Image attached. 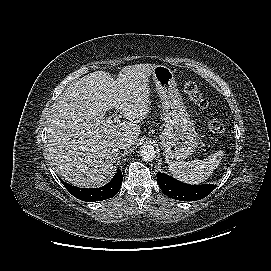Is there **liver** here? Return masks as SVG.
<instances>
[{
    "label": "liver",
    "instance_id": "1",
    "mask_svg": "<svg viewBox=\"0 0 271 271\" xmlns=\"http://www.w3.org/2000/svg\"><path fill=\"white\" fill-rule=\"evenodd\" d=\"M156 65L124 67L114 80L95 71L67 86L51 109L47 149L56 172L80 187L103 185L118 156L115 139L128 135L135 144L139 122L149 112V78ZM115 108L128 121H105L104 112Z\"/></svg>",
    "mask_w": 271,
    "mask_h": 271
}]
</instances>
